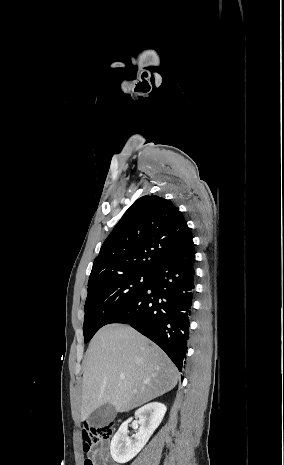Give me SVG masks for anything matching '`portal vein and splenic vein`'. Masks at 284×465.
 <instances>
[{"instance_id":"1","label":"portal vein and splenic vein","mask_w":284,"mask_h":465,"mask_svg":"<svg viewBox=\"0 0 284 465\" xmlns=\"http://www.w3.org/2000/svg\"><path fill=\"white\" fill-rule=\"evenodd\" d=\"M120 379H125V375H120Z\"/></svg>"}]
</instances>
